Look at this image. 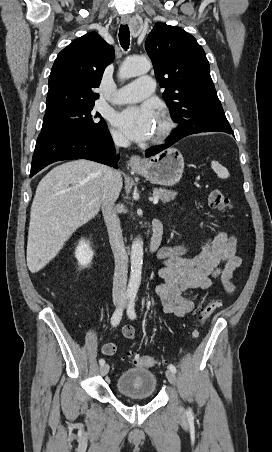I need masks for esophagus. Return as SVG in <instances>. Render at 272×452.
<instances>
[{"mask_svg":"<svg viewBox=\"0 0 272 452\" xmlns=\"http://www.w3.org/2000/svg\"><path fill=\"white\" fill-rule=\"evenodd\" d=\"M130 19H131L130 16L124 15V16H122V18H121V22H122L123 24H128V23L130 22ZM129 163H130V166H131L132 168H137V167H140V166L143 164V161H142V159H141L140 156H138V155H133V156L130 158Z\"/></svg>","mask_w":272,"mask_h":452,"instance_id":"34e87169","label":"esophagus"}]
</instances>
